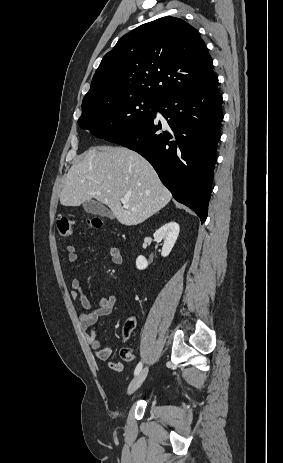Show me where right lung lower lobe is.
Returning a JSON list of instances; mask_svg holds the SVG:
<instances>
[{
	"mask_svg": "<svg viewBox=\"0 0 283 463\" xmlns=\"http://www.w3.org/2000/svg\"><path fill=\"white\" fill-rule=\"evenodd\" d=\"M218 78L161 99L154 114L107 141L136 151L148 160L175 200L206 220L220 139L222 95ZM159 111L165 121L156 119Z\"/></svg>",
	"mask_w": 283,
	"mask_h": 463,
	"instance_id": "1",
	"label": "right lung lower lobe"
}]
</instances>
